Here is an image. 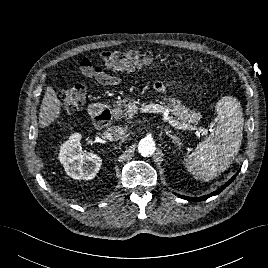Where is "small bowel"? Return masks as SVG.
I'll use <instances>...</instances> for the list:
<instances>
[{
  "label": "small bowel",
  "instance_id": "c3829d8e",
  "mask_svg": "<svg viewBox=\"0 0 268 268\" xmlns=\"http://www.w3.org/2000/svg\"><path fill=\"white\" fill-rule=\"evenodd\" d=\"M80 69L85 76L99 84L118 86L121 83V78L118 75L105 71L101 66L93 64L88 59L82 60ZM155 89L164 92L165 84L163 82H158L155 85ZM202 89V87H199V90Z\"/></svg>",
  "mask_w": 268,
  "mask_h": 268
}]
</instances>
